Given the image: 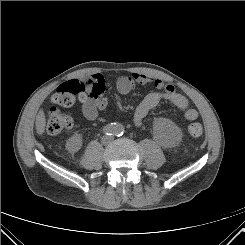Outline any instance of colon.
<instances>
[{
  "mask_svg": "<svg viewBox=\"0 0 245 245\" xmlns=\"http://www.w3.org/2000/svg\"><path fill=\"white\" fill-rule=\"evenodd\" d=\"M90 82L82 80H71L60 85L52 96L55 104L51 108L48 116L47 130L52 135H57L71 128L73 124L72 117L62 112L58 107H69L76 101H83L91 96L94 91L90 89ZM188 133L192 137H200L203 133V127L199 122H191L188 125Z\"/></svg>",
  "mask_w": 245,
  "mask_h": 245,
  "instance_id": "5ec220e1",
  "label": "colon"
}]
</instances>
